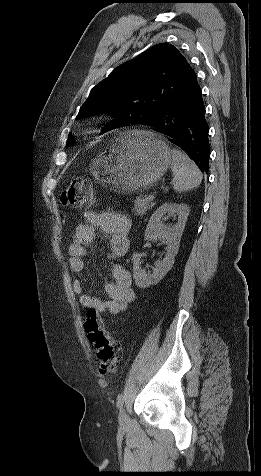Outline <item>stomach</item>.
Here are the masks:
<instances>
[{
	"mask_svg": "<svg viewBox=\"0 0 261 476\" xmlns=\"http://www.w3.org/2000/svg\"><path fill=\"white\" fill-rule=\"evenodd\" d=\"M172 163L165 142L151 132L121 134L90 164L95 177L123 192H133L155 184Z\"/></svg>",
	"mask_w": 261,
	"mask_h": 476,
	"instance_id": "0dacf381",
	"label": "stomach"
}]
</instances>
